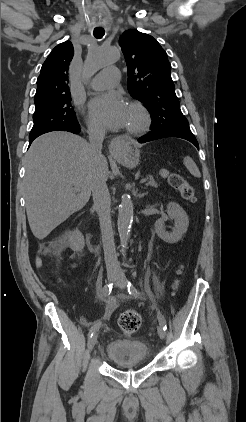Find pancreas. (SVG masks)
Here are the masks:
<instances>
[{
	"instance_id": "obj_1",
	"label": "pancreas",
	"mask_w": 246,
	"mask_h": 422,
	"mask_svg": "<svg viewBox=\"0 0 246 422\" xmlns=\"http://www.w3.org/2000/svg\"><path fill=\"white\" fill-rule=\"evenodd\" d=\"M150 179L152 180V183L147 184V185H151V186L156 187V186H157V183L154 181V179H153V178H150Z\"/></svg>"
}]
</instances>
